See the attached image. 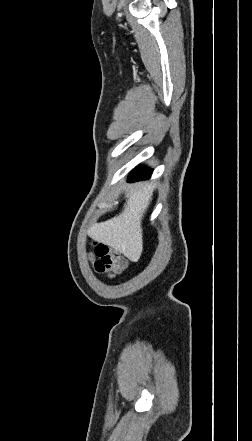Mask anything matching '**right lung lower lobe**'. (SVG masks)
I'll use <instances>...</instances> for the list:
<instances>
[{
    "label": "right lung lower lobe",
    "mask_w": 252,
    "mask_h": 441,
    "mask_svg": "<svg viewBox=\"0 0 252 441\" xmlns=\"http://www.w3.org/2000/svg\"><path fill=\"white\" fill-rule=\"evenodd\" d=\"M152 173L151 169L148 168H136L130 175V181H138L150 177Z\"/></svg>",
    "instance_id": "right-lung-lower-lobe-1"
}]
</instances>
